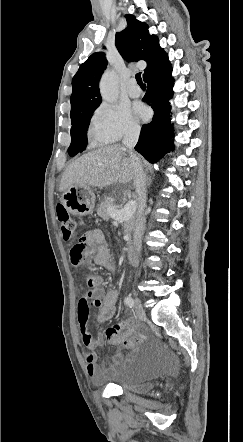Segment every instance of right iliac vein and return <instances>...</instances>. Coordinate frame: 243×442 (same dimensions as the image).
Wrapping results in <instances>:
<instances>
[{"label":"right iliac vein","instance_id":"63e3f726","mask_svg":"<svg viewBox=\"0 0 243 442\" xmlns=\"http://www.w3.org/2000/svg\"><path fill=\"white\" fill-rule=\"evenodd\" d=\"M134 306H135V310H136L138 317L140 319H145L146 315H145L144 308H143V306L137 296L134 297Z\"/></svg>","mask_w":243,"mask_h":442}]
</instances>
